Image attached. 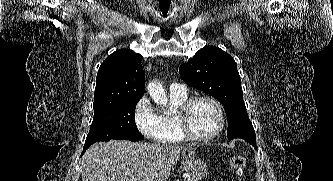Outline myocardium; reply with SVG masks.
<instances>
[{"instance_id":"obj_1","label":"myocardium","mask_w":333,"mask_h":181,"mask_svg":"<svg viewBox=\"0 0 333 181\" xmlns=\"http://www.w3.org/2000/svg\"><path fill=\"white\" fill-rule=\"evenodd\" d=\"M199 101H208L216 109L219 118L218 128L208 136H198L190 128L189 124V115L193 106ZM176 117L180 126V130L185 138L198 141V142H207L213 140L223 131L225 126V114L221 103L214 97L209 95H198L188 98L176 111Z\"/></svg>"}]
</instances>
